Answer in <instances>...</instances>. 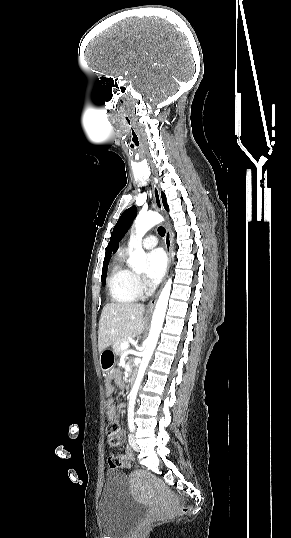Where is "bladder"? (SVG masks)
<instances>
[{
    "instance_id": "obj_1",
    "label": "bladder",
    "mask_w": 291,
    "mask_h": 538,
    "mask_svg": "<svg viewBox=\"0 0 291 538\" xmlns=\"http://www.w3.org/2000/svg\"><path fill=\"white\" fill-rule=\"evenodd\" d=\"M147 510L145 505L132 497L122 472L107 473L98 504V521L108 538H125Z\"/></svg>"
}]
</instances>
